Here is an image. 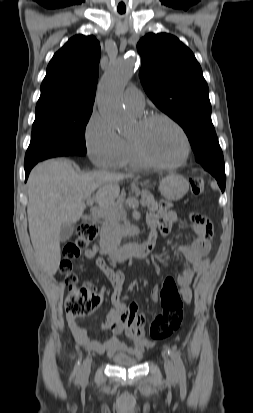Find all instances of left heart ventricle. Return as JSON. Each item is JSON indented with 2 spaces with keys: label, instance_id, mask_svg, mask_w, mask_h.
I'll return each mask as SVG.
<instances>
[{
  "label": "left heart ventricle",
  "instance_id": "left-heart-ventricle-1",
  "mask_svg": "<svg viewBox=\"0 0 253 413\" xmlns=\"http://www.w3.org/2000/svg\"><path fill=\"white\" fill-rule=\"evenodd\" d=\"M132 137L141 141L150 158L161 163L176 162L184 152L181 135L164 120L155 121L145 128L138 124Z\"/></svg>",
  "mask_w": 253,
  "mask_h": 413
}]
</instances>
